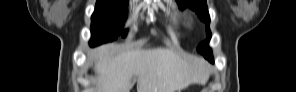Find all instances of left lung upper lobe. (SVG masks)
I'll list each match as a JSON object with an SVG mask.
<instances>
[{
    "label": "left lung upper lobe",
    "instance_id": "obj_1",
    "mask_svg": "<svg viewBox=\"0 0 296 92\" xmlns=\"http://www.w3.org/2000/svg\"><path fill=\"white\" fill-rule=\"evenodd\" d=\"M181 8L189 7L194 10L198 17L206 23V41L201 43L197 50L209 61L213 62L212 51L209 48L211 32L209 29L210 17L207 9L206 0H176Z\"/></svg>",
    "mask_w": 296,
    "mask_h": 92
}]
</instances>
